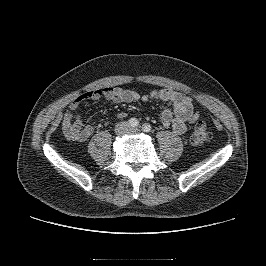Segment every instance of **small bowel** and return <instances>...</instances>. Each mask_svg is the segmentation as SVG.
Masks as SVG:
<instances>
[{
  "label": "small bowel",
  "instance_id": "obj_1",
  "mask_svg": "<svg viewBox=\"0 0 266 266\" xmlns=\"http://www.w3.org/2000/svg\"><path fill=\"white\" fill-rule=\"evenodd\" d=\"M101 98L112 103H132L138 100L144 102L158 100L169 103L171 107L161 109L158 116L159 121L164 127L171 128L179 135L186 132L188 124H192L200 118V112L195 110L191 97L169 88H158L144 95L119 87L93 89L82 93L63 114L62 130L68 139L84 142L92 136L94 127L83 124L80 110L85 101H96ZM119 116L124 117L125 113L121 112Z\"/></svg>",
  "mask_w": 266,
  "mask_h": 266
}]
</instances>
